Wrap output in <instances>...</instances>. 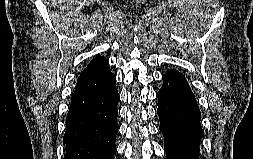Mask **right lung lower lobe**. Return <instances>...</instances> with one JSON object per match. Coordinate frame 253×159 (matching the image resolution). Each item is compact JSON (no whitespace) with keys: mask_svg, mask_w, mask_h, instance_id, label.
I'll return each instance as SVG.
<instances>
[{"mask_svg":"<svg viewBox=\"0 0 253 159\" xmlns=\"http://www.w3.org/2000/svg\"><path fill=\"white\" fill-rule=\"evenodd\" d=\"M115 83L109 64L78 78L66 118L64 159H114L119 100Z\"/></svg>","mask_w":253,"mask_h":159,"instance_id":"right-lung-lower-lobe-1","label":"right lung lower lobe"}]
</instances>
